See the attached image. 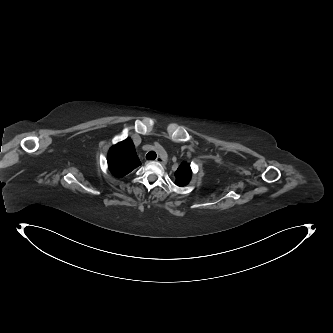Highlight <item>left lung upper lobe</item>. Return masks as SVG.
<instances>
[{"mask_svg": "<svg viewBox=\"0 0 333 333\" xmlns=\"http://www.w3.org/2000/svg\"><path fill=\"white\" fill-rule=\"evenodd\" d=\"M192 171L190 165L183 162L175 172L176 184L180 187L185 186L191 179Z\"/></svg>", "mask_w": 333, "mask_h": 333, "instance_id": "1", "label": "left lung upper lobe"}]
</instances>
